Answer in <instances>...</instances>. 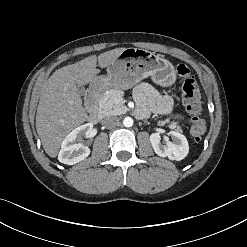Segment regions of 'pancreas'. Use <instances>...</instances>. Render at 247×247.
Segmentation results:
<instances>
[{
  "label": "pancreas",
  "mask_w": 247,
  "mask_h": 247,
  "mask_svg": "<svg viewBox=\"0 0 247 247\" xmlns=\"http://www.w3.org/2000/svg\"><path fill=\"white\" fill-rule=\"evenodd\" d=\"M123 92L118 89H110L108 90L99 101V108L102 113L109 115H119L125 112L127 109L124 106L122 101H118V99L122 98ZM168 120L159 121V125H164ZM170 129L176 130L178 132H182V128L177 124V122H172L169 125Z\"/></svg>",
  "instance_id": "1"
}]
</instances>
